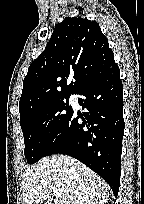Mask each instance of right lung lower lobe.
<instances>
[{"instance_id":"obj_1","label":"right lung lower lobe","mask_w":144,"mask_h":204,"mask_svg":"<svg viewBox=\"0 0 144 204\" xmlns=\"http://www.w3.org/2000/svg\"><path fill=\"white\" fill-rule=\"evenodd\" d=\"M88 111L72 110L45 156H72L100 175L117 197L120 184L123 120V86L120 70L113 60L76 93ZM78 118L83 120L78 123ZM44 156V157H45Z\"/></svg>"}]
</instances>
